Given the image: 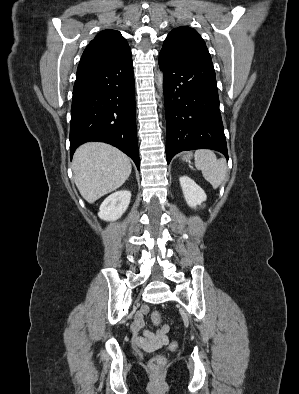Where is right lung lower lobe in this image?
<instances>
[{
  "label": "right lung lower lobe",
  "mask_w": 299,
  "mask_h": 394,
  "mask_svg": "<svg viewBox=\"0 0 299 394\" xmlns=\"http://www.w3.org/2000/svg\"><path fill=\"white\" fill-rule=\"evenodd\" d=\"M88 141L119 148L139 169L132 59L77 70L71 107V157Z\"/></svg>",
  "instance_id": "right-lung-lower-lobe-1"
}]
</instances>
